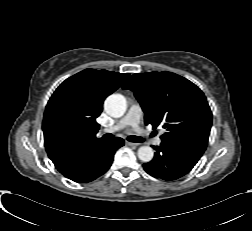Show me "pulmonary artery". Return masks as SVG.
Returning <instances> with one entry per match:
<instances>
[{
    "instance_id": "1",
    "label": "pulmonary artery",
    "mask_w": 252,
    "mask_h": 231,
    "mask_svg": "<svg viewBox=\"0 0 252 231\" xmlns=\"http://www.w3.org/2000/svg\"><path fill=\"white\" fill-rule=\"evenodd\" d=\"M142 109L140 105L134 103L132 104L126 114L113 126H111L108 129H105L107 132H116L119 131L125 127L131 126L133 127L140 135L147 136V133H145L142 129L139 128V124L142 119ZM151 142L155 145H160L162 142V139L160 136L157 137H151Z\"/></svg>"
}]
</instances>
